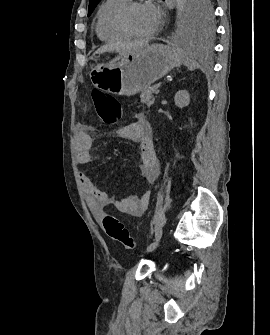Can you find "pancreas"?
<instances>
[{
    "instance_id": "pancreas-1",
    "label": "pancreas",
    "mask_w": 270,
    "mask_h": 335,
    "mask_svg": "<svg viewBox=\"0 0 270 335\" xmlns=\"http://www.w3.org/2000/svg\"><path fill=\"white\" fill-rule=\"evenodd\" d=\"M158 86H152V88H148V90H142L140 94V100L142 104H146V106H152L155 102L154 96H152L153 92L157 90Z\"/></svg>"
}]
</instances>
